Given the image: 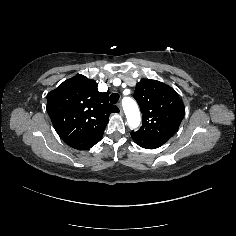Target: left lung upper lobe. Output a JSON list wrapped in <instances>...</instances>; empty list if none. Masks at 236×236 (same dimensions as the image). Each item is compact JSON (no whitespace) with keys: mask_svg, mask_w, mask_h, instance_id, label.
<instances>
[{"mask_svg":"<svg viewBox=\"0 0 236 236\" xmlns=\"http://www.w3.org/2000/svg\"><path fill=\"white\" fill-rule=\"evenodd\" d=\"M134 98L142 112V126L134 132L141 137L169 140L178 130L185 115L177 92L157 80L144 79L137 83Z\"/></svg>","mask_w":236,"mask_h":236,"instance_id":"5c2ea615","label":"left lung upper lobe"}]
</instances>
